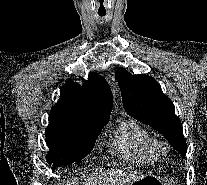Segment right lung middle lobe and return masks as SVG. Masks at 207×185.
<instances>
[{
	"mask_svg": "<svg viewBox=\"0 0 207 185\" xmlns=\"http://www.w3.org/2000/svg\"><path fill=\"white\" fill-rule=\"evenodd\" d=\"M102 128L81 127L68 123L50 122L45 131L46 143L50 151L49 165L55 167L69 165L87 156L93 149Z\"/></svg>",
	"mask_w": 207,
	"mask_h": 185,
	"instance_id": "dd1d6c3e",
	"label": "right lung middle lobe"
}]
</instances>
